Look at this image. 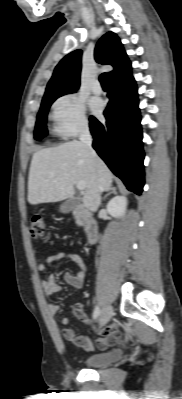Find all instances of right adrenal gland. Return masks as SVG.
<instances>
[{"mask_svg":"<svg viewBox=\"0 0 182 399\" xmlns=\"http://www.w3.org/2000/svg\"><path fill=\"white\" fill-rule=\"evenodd\" d=\"M111 193L117 194V192H116V187H112V186H111V187L108 189V193L104 196V200H105L106 197L109 196Z\"/></svg>","mask_w":182,"mask_h":399,"instance_id":"2a0ac1e0","label":"right adrenal gland"}]
</instances>
